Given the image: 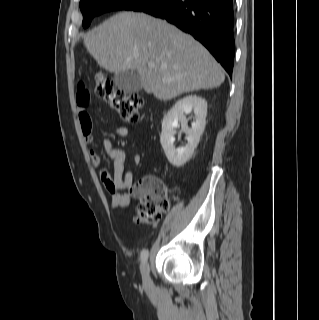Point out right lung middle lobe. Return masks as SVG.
Segmentation results:
<instances>
[{"mask_svg":"<svg viewBox=\"0 0 319 320\" xmlns=\"http://www.w3.org/2000/svg\"><path fill=\"white\" fill-rule=\"evenodd\" d=\"M153 0H81L80 9L83 14V27L90 25L94 16L112 10H134Z\"/></svg>","mask_w":319,"mask_h":320,"instance_id":"1","label":"right lung middle lobe"}]
</instances>
